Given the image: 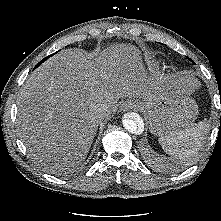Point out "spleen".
Masks as SVG:
<instances>
[{
  "label": "spleen",
  "mask_w": 221,
  "mask_h": 221,
  "mask_svg": "<svg viewBox=\"0 0 221 221\" xmlns=\"http://www.w3.org/2000/svg\"><path fill=\"white\" fill-rule=\"evenodd\" d=\"M203 128L204 123L199 122L160 136L159 142L168 154L190 157L195 155L201 146Z\"/></svg>",
  "instance_id": "spleen-1"
}]
</instances>
